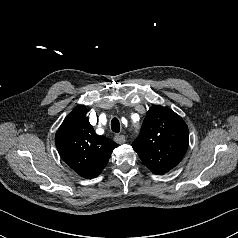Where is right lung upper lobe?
I'll list each match as a JSON object with an SVG mask.
<instances>
[{
    "mask_svg": "<svg viewBox=\"0 0 238 238\" xmlns=\"http://www.w3.org/2000/svg\"><path fill=\"white\" fill-rule=\"evenodd\" d=\"M55 144L63 161L84 178L97 177L117 144L99 136L79 105L64 119L55 135Z\"/></svg>",
    "mask_w": 238,
    "mask_h": 238,
    "instance_id": "right-lung-upper-lobe-1",
    "label": "right lung upper lobe"
}]
</instances>
